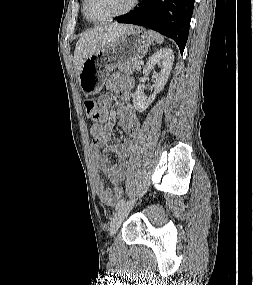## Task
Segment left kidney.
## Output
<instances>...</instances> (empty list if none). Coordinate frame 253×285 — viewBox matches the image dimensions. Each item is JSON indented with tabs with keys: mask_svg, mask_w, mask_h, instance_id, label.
Listing matches in <instances>:
<instances>
[{
	"mask_svg": "<svg viewBox=\"0 0 253 285\" xmlns=\"http://www.w3.org/2000/svg\"><path fill=\"white\" fill-rule=\"evenodd\" d=\"M174 61V54L170 48H162L156 51L147 61L143 68V74L148 75L158 65L161 67L160 73H153L155 77L154 93L148 98L144 95L141 85L137 86V89L133 95V104L137 111H145L149 105L155 100L156 94H158L166 85L170 71L172 69Z\"/></svg>",
	"mask_w": 253,
	"mask_h": 285,
	"instance_id": "5707ae66",
	"label": "left kidney"
}]
</instances>
